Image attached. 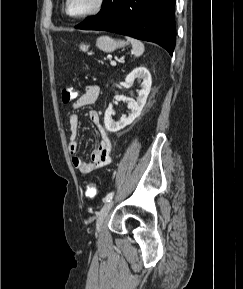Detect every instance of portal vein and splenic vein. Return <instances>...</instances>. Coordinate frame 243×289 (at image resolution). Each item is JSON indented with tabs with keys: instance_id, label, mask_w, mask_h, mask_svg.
Returning a JSON list of instances; mask_svg holds the SVG:
<instances>
[{
	"instance_id": "1",
	"label": "portal vein and splenic vein",
	"mask_w": 243,
	"mask_h": 289,
	"mask_svg": "<svg viewBox=\"0 0 243 289\" xmlns=\"http://www.w3.org/2000/svg\"><path fill=\"white\" fill-rule=\"evenodd\" d=\"M110 63H111L112 66H115V65H116V62H115V61H111Z\"/></svg>"
}]
</instances>
